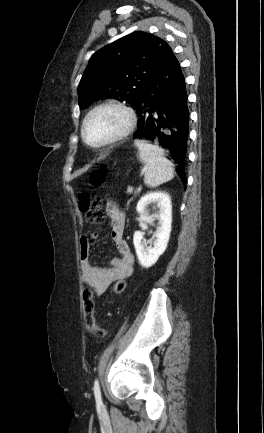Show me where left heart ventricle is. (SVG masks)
<instances>
[{"label": "left heart ventricle", "mask_w": 264, "mask_h": 433, "mask_svg": "<svg viewBox=\"0 0 264 433\" xmlns=\"http://www.w3.org/2000/svg\"><path fill=\"white\" fill-rule=\"evenodd\" d=\"M125 115L114 108L95 113L87 122L86 137L92 143L101 142L118 133L125 124Z\"/></svg>", "instance_id": "obj_1"}]
</instances>
